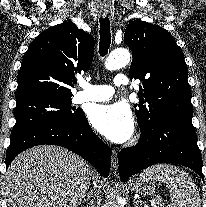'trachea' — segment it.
<instances>
[{
    "label": "trachea",
    "instance_id": "trachea-1",
    "mask_svg": "<svg viewBox=\"0 0 206 207\" xmlns=\"http://www.w3.org/2000/svg\"><path fill=\"white\" fill-rule=\"evenodd\" d=\"M111 44L110 20L108 17L100 18L99 53L105 56Z\"/></svg>",
    "mask_w": 206,
    "mask_h": 207
}]
</instances>
